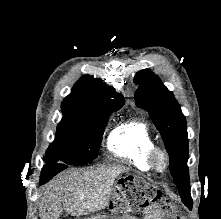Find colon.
<instances>
[{
  "instance_id": "1",
  "label": "colon",
  "mask_w": 221,
  "mask_h": 219,
  "mask_svg": "<svg viewBox=\"0 0 221 219\" xmlns=\"http://www.w3.org/2000/svg\"><path fill=\"white\" fill-rule=\"evenodd\" d=\"M120 192L126 195L139 196V208L149 207L157 198V195H155L154 188L152 186L135 181H127L123 183L120 187Z\"/></svg>"
}]
</instances>
